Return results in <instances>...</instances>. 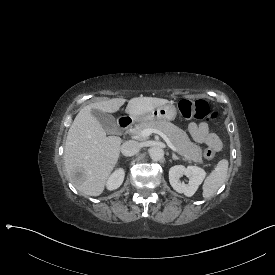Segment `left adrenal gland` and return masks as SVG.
<instances>
[{
    "mask_svg": "<svg viewBox=\"0 0 275 275\" xmlns=\"http://www.w3.org/2000/svg\"><path fill=\"white\" fill-rule=\"evenodd\" d=\"M166 155L168 156L169 153L166 152ZM172 160H180V158L175 153H172Z\"/></svg>",
    "mask_w": 275,
    "mask_h": 275,
    "instance_id": "1",
    "label": "left adrenal gland"
}]
</instances>
